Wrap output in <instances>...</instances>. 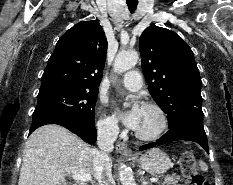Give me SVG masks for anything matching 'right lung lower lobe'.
I'll return each instance as SVG.
<instances>
[{"instance_id": "right-lung-lower-lobe-1", "label": "right lung lower lobe", "mask_w": 233, "mask_h": 185, "mask_svg": "<svg viewBox=\"0 0 233 185\" xmlns=\"http://www.w3.org/2000/svg\"><path fill=\"white\" fill-rule=\"evenodd\" d=\"M45 124H58L64 126L81 137L85 142L89 144H94L96 142L97 132L95 125H89L87 123L66 117L41 116L33 118L30 133L36 128Z\"/></svg>"}]
</instances>
